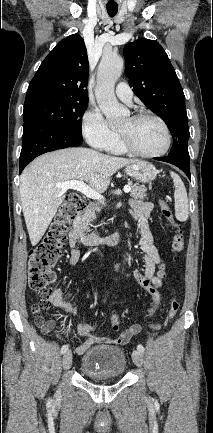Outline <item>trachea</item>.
I'll use <instances>...</instances> for the list:
<instances>
[{
	"label": "trachea",
	"instance_id": "1",
	"mask_svg": "<svg viewBox=\"0 0 213 433\" xmlns=\"http://www.w3.org/2000/svg\"><path fill=\"white\" fill-rule=\"evenodd\" d=\"M107 12L110 17H114L118 12V7H107Z\"/></svg>",
	"mask_w": 213,
	"mask_h": 433
}]
</instances>
